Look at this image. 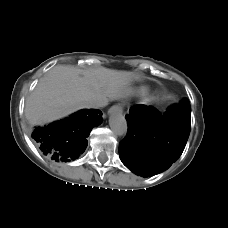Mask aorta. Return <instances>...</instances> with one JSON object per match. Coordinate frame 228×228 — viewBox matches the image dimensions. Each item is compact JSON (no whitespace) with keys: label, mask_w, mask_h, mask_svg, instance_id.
Segmentation results:
<instances>
[{"label":"aorta","mask_w":228,"mask_h":228,"mask_svg":"<svg viewBox=\"0 0 228 228\" xmlns=\"http://www.w3.org/2000/svg\"><path fill=\"white\" fill-rule=\"evenodd\" d=\"M109 125L113 133L122 136L127 132V122L120 111H115L109 118Z\"/></svg>","instance_id":"1"}]
</instances>
